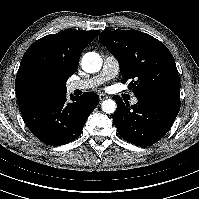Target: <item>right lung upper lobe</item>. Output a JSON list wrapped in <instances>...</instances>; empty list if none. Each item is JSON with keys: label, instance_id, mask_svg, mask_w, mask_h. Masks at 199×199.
Returning a JSON list of instances; mask_svg holds the SVG:
<instances>
[{"label": "right lung upper lobe", "instance_id": "cb5924a9", "mask_svg": "<svg viewBox=\"0 0 199 199\" xmlns=\"http://www.w3.org/2000/svg\"><path fill=\"white\" fill-rule=\"evenodd\" d=\"M99 30H65L35 41L25 52L16 75L19 107L66 93V81L78 68L83 49Z\"/></svg>", "mask_w": 199, "mask_h": 199}]
</instances>
